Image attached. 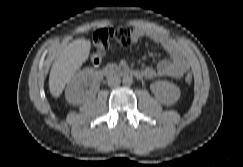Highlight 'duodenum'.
I'll return each instance as SVG.
<instances>
[{
    "label": "duodenum",
    "instance_id": "obj_1",
    "mask_svg": "<svg viewBox=\"0 0 243 167\" xmlns=\"http://www.w3.org/2000/svg\"><path fill=\"white\" fill-rule=\"evenodd\" d=\"M102 73L105 76L114 77L118 75L122 76H132L137 79H142L144 77V74L142 71L124 67V66H118V65H107L104 68H102Z\"/></svg>",
    "mask_w": 243,
    "mask_h": 167
}]
</instances>
